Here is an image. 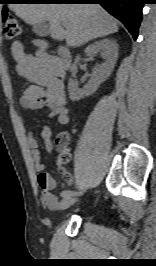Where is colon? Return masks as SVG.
Here are the masks:
<instances>
[{
  "label": "colon",
  "mask_w": 156,
  "mask_h": 266,
  "mask_svg": "<svg viewBox=\"0 0 156 266\" xmlns=\"http://www.w3.org/2000/svg\"><path fill=\"white\" fill-rule=\"evenodd\" d=\"M3 34L6 39H14L20 34V26L17 19L9 12L5 11L2 16ZM69 141L67 133H61L57 136L55 144L59 149H64ZM69 159V155L65 150L59 154V162L65 163Z\"/></svg>",
  "instance_id": "colon-1"
}]
</instances>
